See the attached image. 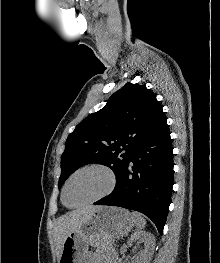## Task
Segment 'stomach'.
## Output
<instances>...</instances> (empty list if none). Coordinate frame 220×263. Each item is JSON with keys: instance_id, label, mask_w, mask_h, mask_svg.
<instances>
[{"instance_id": "obj_1", "label": "stomach", "mask_w": 220, "mask_h": 263, "mask_svg": "<svg viewBox=\"0 0 220 263\" xmlns=\"http://www.w3.org/2000/svg\"><path fill=\"white\" fill-rule=\"evenodd\" d=\"M132 214L123 208L105 206L66 236L58 263H83L89 244L110 249L115 238L134 227Z\"/></svg>"}]
</instances>
